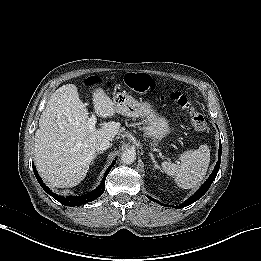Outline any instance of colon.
I'll return each instance as SVG.
<instances>
[{
    "label": "colon",
    "mask_w": 261,
    "mask_h": 261,
    "mask_svg": "<svg viewBox=\"0 0 261 261\" xmlns=\"http://www.w3.org/2000/svg\"><path fill=\"white\" fill-rule=\"evenodd\" d=\"M89 85L96 83L95 79H90L87 82ZM128 84L137 92H147L154 87L153 79L144 73H133L128 76ZM169 98L176 102L182 109L188 112L192 124L199 130H205L207 127L203 115L197 112L192 105L190 98L180 91L173 90L169 93ZM160 100H165L164 96L159 97Z\"/></svg>",
    "instance_id": "1"
}]
</instances>
